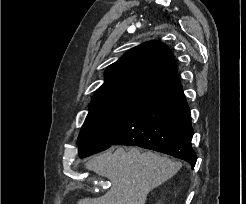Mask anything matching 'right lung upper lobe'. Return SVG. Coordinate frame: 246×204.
Wrapping results in <instances>:
<instances>
[{
  "mask_svg": "<svg viewBox=\"0 0 246 204\" xmlns=\"http://www.w3.org/2000/svg\"><path fill=\"white\" fill-rule=\"evenodd\" d=\"M178 76L174 56L162 42L150 41L126 52L105 72L92 101L134 98Z\"/></svg>",
  "mask_w": 246,
  "mask_h": 204,
  "instance_id": "cb5924a9",
  "label": "right lung upper lobe"
}]
</instances>
